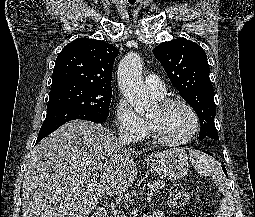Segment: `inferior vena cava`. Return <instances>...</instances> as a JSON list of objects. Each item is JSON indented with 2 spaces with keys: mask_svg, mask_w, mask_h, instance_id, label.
I'll return each mask as SVG.
<instances>
[{
  "mask_svg": "<svg viewBox=\"0 0 255 217\" xmlns=\"http://www.w3.org/2000/svg\"><path fill=\"white\" fill-rule=\"evenodd\" d=\"M132 141L131 136L127 132H120L117 138L118 147L121 148L122 146L129 145Z\"/></svg>",
  "mask_w": 255,
  "mask_h": 217,
  "instance_id": "inferior-vena-cava-1",
  "label": "inferior vena cava"
}]
</instances>
